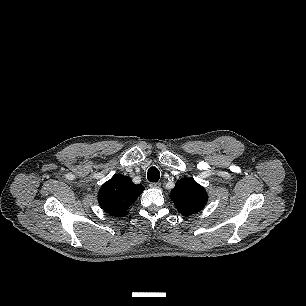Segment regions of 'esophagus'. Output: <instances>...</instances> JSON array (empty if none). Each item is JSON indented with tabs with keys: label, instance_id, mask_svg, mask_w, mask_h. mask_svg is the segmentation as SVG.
Here are the masks:
<instances>
[{
	"label": "esophagus",
	"instance_id": "1",
	"mask_svg": "<svg viewBox=\"0 0 306 306\" xmlns=\"http://www.w3.org/2000/svg\"><path fill=\"white\" fill-rule=\"evenodd\" d=\"M149 186L151 188H160L161 187V183H159V182H152V183L149 184Z\"/></svg>",
	"mask_w": 306,
	"mask_h": 306
}]
</instances>
